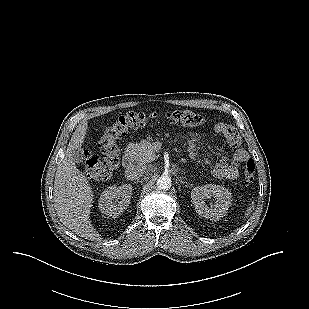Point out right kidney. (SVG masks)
<instances>
[{"mask_svg": "<svg viewBox=\"0 0 309 309\" xmlns=\"http://www.w3.org/2000/svg\"><path fill=\"white\" fill-rule=\"evenodd\" d=\"M132 187L123 184L119 187L116 185L109 186L105 189L99 199V209L102 214L116 218L128 206L131 199Z\"/></svg>", "mask_w": 309, "mask_h": 309, "instance_id": "right-kidney-1", "label": "right kidney"}]
</instances>
